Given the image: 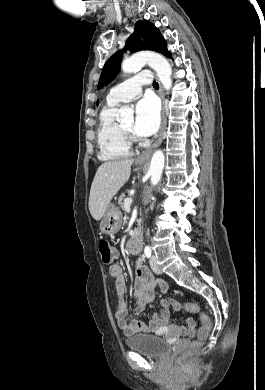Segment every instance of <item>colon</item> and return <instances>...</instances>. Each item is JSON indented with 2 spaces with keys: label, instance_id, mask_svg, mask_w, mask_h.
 <instances>
[{
  "label": "colon",
  "instance_id": "5ec220e1",
  "mask_svg": "<svg viewBox=\"0 0 265 390\" xmlns=\"http://www.w3.org/2000/svg\"><path fill=\"white\" fill-rule=\"evenodd\" d=\"M101 261L104 265L108 266L110 265L114 260V249L110 245V243L107 240H101L98 245ZM169 303L171 307H173L174 310L180 311L184 310L190 313H198L199 307L196 303L192 302H179L175 299L169 300ZM201 322L202 325L198 329L197 333V339L194 340L186 353L183 355L182 360L188 361L199 349L201 346L202 341L206 340L211 332V323L209 317L202 313L201 314Z\"/></svg>",
  "mask_w": 265,
  "mask_h": 390
}]
</instances>
